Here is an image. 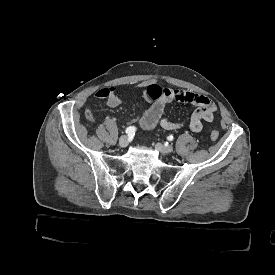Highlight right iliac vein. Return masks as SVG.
<instances>
[{"instance_id": "right-iliac-vein-1", "label": "right iliac vein", "mask_w": 275, "mask_h": 275, "mask_svg": "<svg viewBox=\"0 0 275 275\" xmlns=\"http://www.w3.org/2000/svg\"><path fill=\"white\" fill-rule=\"evenodd\" d=\"M128 144H129L128 136H126V135L121 136L120 139H119L120 147L125 148V147L128 146Z\"/></svg>"}]
</instances>
